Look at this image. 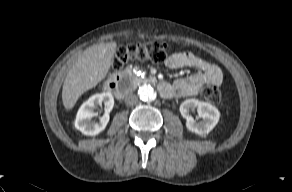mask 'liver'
Wrapping results in <instances>:
<instances>
[{"mask_svg":"<svg viewBox=\"0 0 292 192\" xmlns=\"http://www.w3.org/2000/svg\"><path fill=\"white\" fill-rule=\"evenodd\" d=\"M116 47L115 42L93 45L78 57L63 84L62 101L67 110L74 107L83 93L105 78Z\"/></svg>","mask_w":292,"mask_h":192,"instance_id":"6515ba94","label":"liver"}]
</instances>
